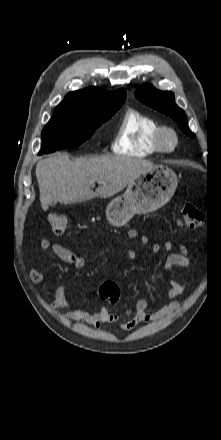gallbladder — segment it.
Listing matches in <instances>:
<instances>
[{
  "mask_svg": "<svg viewBox=\"0 0 221 440\" xmlns=\"http://www.w3.org/2000/svg\"><path fill=\"white\" fill-rule=\"evenodd\" d=\"M50 205H51V206L53 207V206H55V205H56V203H55V202H52V203H51Z\"/></svg>",
  "mask_w": 221,
  "mask_h": 440,
  "instance_id": "1",
  "label": "gallbladder"
}]
</instances>
